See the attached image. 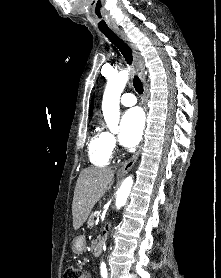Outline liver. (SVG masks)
<instances>
[{
    "instance_id": "6515ba94",
    "label": "liver",
    "mask_w": 221,
    "mask_h": 278,
    "mask_svg": "<svg viewBox=\"0 0 221 278\" xmlns=\"http://www.w3.org/2000/svg\"><path fill=\"white\" fill-rule=\"evenodd\" d=\"M114 181V171L106 167H89L81 171L72 202L73 228L78 230L94 205Z\"/></svg>"
}]
</instances>
